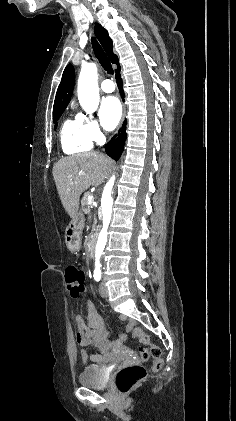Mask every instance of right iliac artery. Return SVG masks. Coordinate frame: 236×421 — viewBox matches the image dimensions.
Listing matches in <instances>:
<instances>
[{"instance_id":"obj_1","label":"right iliac artery","mask_w":236,"mask_h":421,"mask_svg":"<svg viewBox=\"0 0 236 421\" xmlns=\"http://www.w3.org/2000/svg\"><path fill=\"white\" fill-rule=\"evenodd\" d=\"M94 279L97 281V282H99L100 281V279H101V273H94Z\"/></svg>"}]
</instances>
